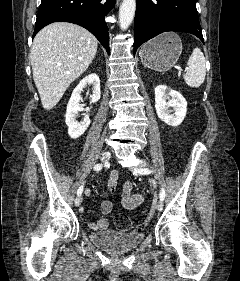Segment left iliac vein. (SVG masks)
I'll use <instances>...</instances> for the list:
<instances>
[{
    "label": "left iliac vein",
    "instance_id": "4c4485c4",
    "mask_svg": "<svg viewBox=\"0 0 240 281\" xmlns=\"http://www.w3.org/2000/svg\"><path fill=\"white\" fill-rule=\"evenodd\" d=\"M145 165H146V163H145L144 161H140V162L138 163V168H139V169H142L143 167H145ZM134 170H135V169H134ZM156 208H157L158 211H162V209H163V203H162L161 200L156 203Z\"/></svg>",
    "mask_w": 240,
    "mask_h": 281
}]
</instances>
